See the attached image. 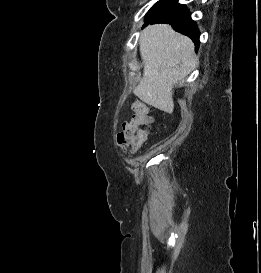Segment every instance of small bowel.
Masks as SVG:
<instances>
[{
	"label": "small bowel",
	"mask_w": 261,
	"mask_h": 273,
	"mask_svg": "<svg viewBox=\"0 0 261 273\" xmlns=\"http://www.w3.org/2000/svg\"><path fill=\"white\" fill-rule=\"evenodd\" d=\"M153 121V119L150 117L149 120L146 122V125H149L151 122ZM129 122L124 124V127H126L128 125Z\"/></svg>",
	"instance_id": "c3829d8e"
}]
</instances>
